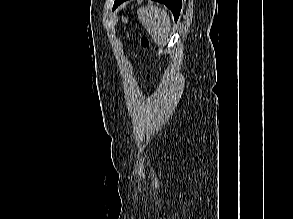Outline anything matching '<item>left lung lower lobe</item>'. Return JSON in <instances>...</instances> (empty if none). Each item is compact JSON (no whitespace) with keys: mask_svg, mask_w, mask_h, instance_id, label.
I'll return each mask as SVG.
<instances>
[{"mask_svg":"<svg viewBox=\"0 0 293 219\" xmlns=\"http://www.w3.org/2000/svg\"><path fill=\"white\" fill-rule=\"evenodd\" d=\"M124 1L126 0H116L114 2L113 9L117 8L118 5H120ZM154 1L165 4L172 11L174 18L177 21L181 11L182 0H154Z\"/></svg>","mask_w":293,"mask_h":219,"instance_id":"obj_1","label":"left lung lower lobe"}]
</instances>
